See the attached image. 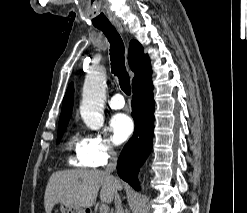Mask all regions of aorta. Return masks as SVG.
<instances>
[{"label":"aorta","mask_w":247,"mask_h":213,"mask_svg":"<svg viewBox=\"0 0 247 213\" xmlns=\"http://www.w3.org/2000/svg\"><path fill=\"white\" fill-rule=\"evenodd\" d=\"M106 98V72L103 67L90 72L84 82L81 117L92 130L100 129L104 124L103 107Z\"/></svg>","instance_id":"1"}]
</instances>
